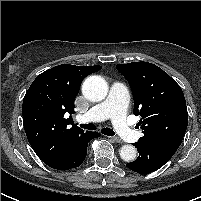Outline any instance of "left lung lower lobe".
<instances>
[{
	"mask_svg": "<svg viewBox=\"0 0 201 201\" xmlns=\"http://www.w3.org/2000/svg\"><path fill=\"white\" fill-rule=\"evenodd\" d=\"M137 148L138 158L126 166L140 174L151 173L162 167L174 155L180 144L163 142L155 144L134 143Z\"/></svg>",
	"mask_w": 201,
	"mask_h": 201,
	"instance_id": "left-lung-lower-lobe-1",
	"label": "left lung lower lobe"
}]
</instances>
